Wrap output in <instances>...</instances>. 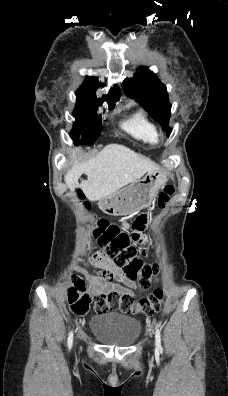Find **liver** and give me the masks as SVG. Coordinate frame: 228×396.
Masks as SVG:
<instances>
[{"label":"liver","instance_id":"1","mask_svg":"<svg viewBox=\"0 0 228 396\" xmlns=\"http://www.w3.org/2000/svg\"><path fill=\"white\" fill-rule=\"evenodd\" d=\"M79 151V148L72 151L70 158L73 164L65 175V182L71 191L81 188L91 201L116 192L147 172L159 170L151 160L120 144L107 145L97 156L85 162L77 160ZM82 174L87 175V180L79 183Z\"/></svg>","mask_w":228,"mask_h":396}]
</instances>
